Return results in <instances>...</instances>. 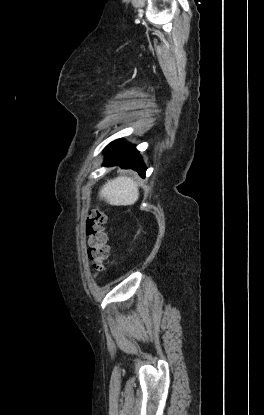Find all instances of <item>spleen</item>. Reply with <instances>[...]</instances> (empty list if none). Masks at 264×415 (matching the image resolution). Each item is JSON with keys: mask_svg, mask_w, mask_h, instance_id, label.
<instances>
[{"mask_svg": "<svg viewBox=\"0 0 264 415\" xmlns=\"http://www.w3.org/2000/svg\"><path fill=\"white\" fill-rule=\"evenodd\" d=\"M99 196L110 205L127 206L137 201L139 191L136 182L132 178L118 176L117 178L108 180L103 185Z\"/></svg>", "mask_w": 264, "mask_h": 415, "instance_id": "spleen-1", "label": "spleen"}]
</instances>
